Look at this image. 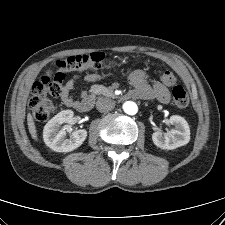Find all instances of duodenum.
<instances>
[{"label":"duodenum","mask_w":225,"mask_h":225,"mask_svg":"<svg viewBox=\"0 0 225 225\" xmlns=\"http://www.w3.org/2000/svg\"><path fill=\"white\" fill-rule=\"evenodd\" d=\"M93 105H94L93 97L86 96V97L79 99L76 102L74 107L78 112L84 113V112L90 111L92 109Z\"/></svg>","instance_id":"duodenum-1"}]
</instances>
